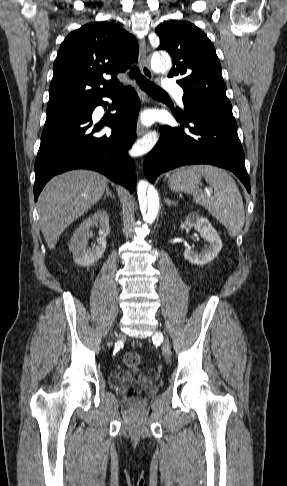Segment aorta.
<instances>
[{"label":"aorta","instance_id":"aorta-1","mask_svg":"<svg viewBox=\"0 0 287 486\" xmlns=\"http://www.w3.org/2000/svg\"><path fill=\"white\" fill-rule=\"evenodd\" d=\"M171 67V59L168 55L154 53L151 57V68L155 72H161ZM138 199L143 220L151 224L157 218L159 212V196L152 185H138Z\"/></svg>","mask_w":287,"mask_h":486}]
</instances>
